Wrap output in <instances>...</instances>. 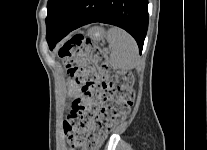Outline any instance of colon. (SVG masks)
<instances>
[{
	"label": "colon",
	"instance_id": "colon-1",
	"mask_svg": "<svg viewBox=\"0 0 207 150\" xmlns=\"http://www.w3.org/2000/svg\"><path fill=\"white\" fill-rule=\"evenodd\" d=\"M57 54L83 94L73 101L63 124L69 146L98 150L133 105L132 75L116 68L99 46L82 35L67 41Z\"/></svg>",
	"mask_w": 207,
	"mask_h": 150
}]
</instances>
